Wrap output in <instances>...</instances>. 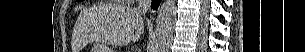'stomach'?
I'll return each mask as SVG.
<instances>
[{"instance_id":"stomach-1","label":"stomach","mask_w":305,"mask_h":52,"mask_svg":"<svg viewBox=\"0 0 305 52\" xmlns=\"http://www.w3.org/2000/svg\"><path fill=\"white\" fill-rule=\"evenodd\" d=\"M91 52H112L104 44H95Z\"/></svg>"}]
</instances>
